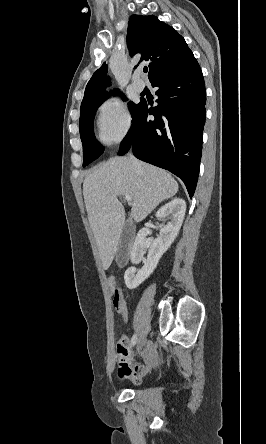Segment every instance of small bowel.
<instances>
[{"label": "small bowel", "instance_id": "small-bowel-1", "mask_svg": "<svg viewBox=\"0 0 266 444\" xmlns=\"http://www.w3.org/2000/svg\"><path fill=\"white\" fill-rule=\"evenodd\" d=\"M110 284L112 286L116 285L115 279H110ZM118 313L121 315L124 321L128 318V308L126 303L117 309ZM152 346H149V350H152ZM117 356L120 361L119 376L122 379H131L137 382L140 377L145 373L147 367L143 364H136L135 366H130L131 360V350L129 347V338L125 335L121 336L117 344Z\"/></svg>", "mask_w": 266, "mask_h": 444}]
</instances>
